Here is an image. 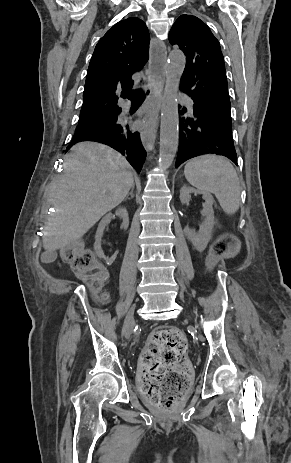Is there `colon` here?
<instances>
[{
    "instance_id": "1",
    "label": "colon",
    "mask_w": 291,
    "mask_h": 463,
    "mask_svg": "<svg viewBox=\"0 0 291 463\" xmlns=\"http://www.w3.org/2000/svg\"><path fill=\"white\" fill-rule=\"evenodd\" d=\"M236 238L225 234L214 244L211 259L216 260L234 250ZM62 260L75 274L87 281L98 293L100 301L108 295L102 292L107 273L93 252L80 243L61 250ZM188 348L186 337L178 329L167 326L151 336L140 359V385L144 396L165 412L173 410L189 386V366L185 360Z\"/></svg>"
}]
</instances>
